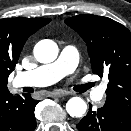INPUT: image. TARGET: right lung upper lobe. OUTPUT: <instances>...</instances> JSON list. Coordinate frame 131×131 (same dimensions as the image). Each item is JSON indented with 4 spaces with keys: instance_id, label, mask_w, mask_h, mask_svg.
Masks as SVG:
<instances>
[{
    "instance_id": "right-lung-upper-lobe-1",
    "label": "right lung upper lobe",
    "mask_w": 131,
    "mask_h": 131,
    "mask_svg": "<svg viewBox=\"0 0 131 131\" xmlns=\"http://www.w3.org/2000/svg\"><path fill=\"white\" fill-rule=\"evenodd\" d=\"M50 21L49 18L0 19V78L8 79L26 40Z\"/></svg>"
}]
</instances>
